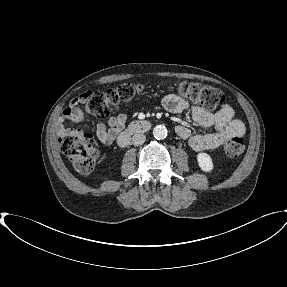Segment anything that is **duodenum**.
<instances>
[{"mask_svg": "<svg viewBox=\"0 0 287 287\" xmlns=\"http://www.w3.org/2000/svg\"><path fill=\"white\" fill-rule=\"evenodd\" d=\"M152 124L148 120L132 121L125 130L119 135L118 142L121 146H126L132 135L145 133L150 130Z\"/></svg>", "mask_w": 287, "mask_h": 287, "instance_id": "410a0bca", "label": "duodenum"}]
</instances>
